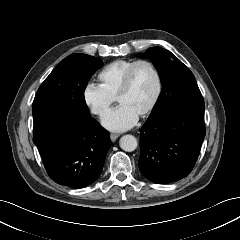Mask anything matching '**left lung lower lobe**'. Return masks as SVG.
<instances>
[{"label": "left lung lower lobe", "instance_id": "0a47b994", "mask_svg": "<svg viewBox=\"0 0 240 240\" xmlns=\"http://www.w3.org/2000/svg\"><path fill=\"white\" fill-rule=\"evenodd\" d=\"M139 168L145 178L168 184L186 177L198 158L206 130L204 109L179 107L140 130Z\"/></svg>", "mask_w": 240, "mask_h": 240}]
</instances>
